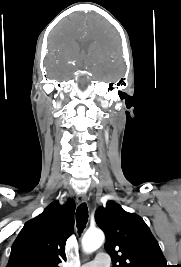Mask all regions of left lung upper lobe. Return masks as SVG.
<instances>
[{"instance_id": "obj_1", "label": "left lung upper lobe", "mask_w": 181, "mask_h": 267, "mask_svg": "<svg viewBox=\"0 0 181 267\" xmlns=\"http://www.w3.org/2000/svg\"><path fill=\"white\" fill-rule=\"evenodd\" d=\"M95 220L105 232V249L113 267H168L158 242L140 216L110 201L96 210Z\"/></svg>"}]
</instances>
